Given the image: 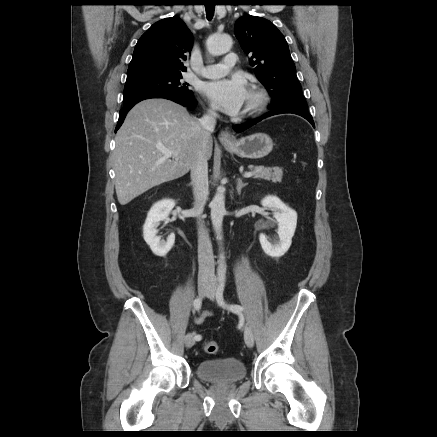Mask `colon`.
<instances>
[{
    "label": "colon",
    "instance_id": "5ec220e1",
    "mask_svg": "<svg viewBox=\"0 0 437 437\" xmlns=\"http://www.w3.org/2000/svg\"><path fill=\"white\" fill-rule=\"evenodd\" d=\"M204 351L208 354H215L218 351V344L216 341L207 340L204 343Z\"/></svg>",
    "mask_w": 437,
    "mask_h": 437
}]
</instances>
